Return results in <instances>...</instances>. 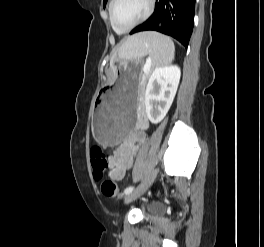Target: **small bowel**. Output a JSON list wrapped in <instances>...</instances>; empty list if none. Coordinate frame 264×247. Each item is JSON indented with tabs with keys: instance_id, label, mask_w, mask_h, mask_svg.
Wrapping results in <instances>:
<instances>
[{
	"instance_id": "1",
	"label": "small bowel",
	"mask_w": 264,
	"mask_h": 247,
	"mask_svg": "<svg viewBox=\"0 0 264 247\" xmlns=\"http://www.w3.org/2000/svg\"><path fill=\"white\" fill-rule=\"evenodd\" d=\"M148 125L147 118L141 115L135 128L110 156L108 176L112 181L122 180L126 172L132 167L139 146L145 142L144 130Z\"/></svg>"
}]
</instances>
